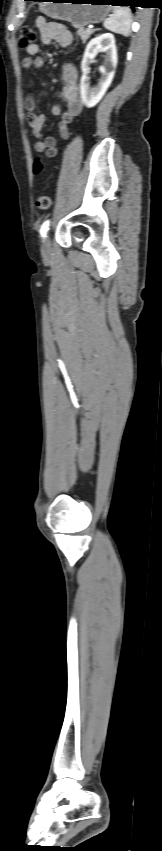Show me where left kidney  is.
Segmentation results:
<instances>
[{
    "label": "left kidney",
    "mask_w": 162,
    "mask_h": 851,
    "mask_svg": "<svg viewBox=\"0 0 162 851\" xmlns=\"http://www.w3.org/2000/svg\"><path fill=\"white\" fill-rule=\"evenodd\" d=\"M104 52V62L99 67L100 80L95 87L90 86V65L98 52ZM117 66V50L115 38L111 33L102 34L93 38L86 46L83 59L81 62L82 77L80 80V95L83 104L88 107H94L105 95L107 89L113 80L115 69Z\"/></svg>",
    "instance_id": "5707ae66"
}]
</instances>
